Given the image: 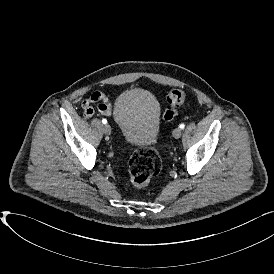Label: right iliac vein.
Instances as JSON below:
<instances>
[{"label":"right iliac vein","instance_id":"63e3f726","mask_svg":"<svg viewBox=\"0 0 274 274\" xmlns=\"http://www.w3.org/2000/svg\"><path fill=\"white\" fill-rule=\"evenodd\" d=\"M103 132L106 134V135H110L111 134V127L109 124H105L103 126Z\"/></svg>","mask_w":274,"mask_h":274}]
</instances>
